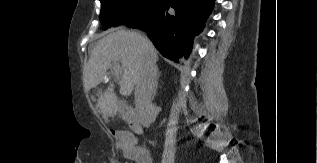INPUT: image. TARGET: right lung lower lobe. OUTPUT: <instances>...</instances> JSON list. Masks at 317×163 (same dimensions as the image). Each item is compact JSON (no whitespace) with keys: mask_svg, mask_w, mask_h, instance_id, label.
Listing matches in <instances>:
<instances>
[{"mask_svg":"<svg viewBox=\"0 0 317 163\" xmlns=\"http://www.w3.org/2000/svg\"><path fill=\"white\" fill-rule=\"evenodd\" d=\"M214 1L162 0L149 15L127 27L146 31L164 57L178 62V56L190 54L192 38L202 31Z\"/></svg>","mask_w":317,"mask_h":163,"instance_id":"right-lung-lower-lobe-1","label":"right lung lower lobe"}]
</instances>
